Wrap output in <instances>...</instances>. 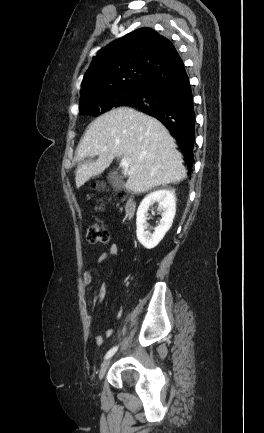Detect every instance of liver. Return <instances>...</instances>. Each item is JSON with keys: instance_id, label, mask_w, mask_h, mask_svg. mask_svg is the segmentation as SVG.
<instances>
[{"instance_id": "liver-1", "label": "liver", "mask_w": 264, "mask_h": 433, "mask_svg": "<svg viewBox=\"0 0 264 433\" xmlns=\"http://www.w3.org/2000/svg\"><path fill=\"white\" fill-rule=\"evenodd\" d=\"M98 156L96 162H85ZM128 157L133 174L125 184L135 194L186 178L173 138L155 118L119 107L95 119L77 148L76 187L101 174L115 157Z\"/></svg>"}]
</instances>
